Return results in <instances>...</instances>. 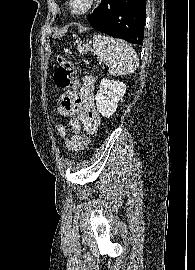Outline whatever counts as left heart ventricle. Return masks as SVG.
Returning <instances> with one entry per match:
<instances>
[{
    "label": "left heart ventricle",
    "mask_w": 195,
    "mask_h": 270,
    "mask_svg": "<svg viewBox=\"0 0 195 270\" xmlns=\"http://www.w3.org/2000/svg\"><path fill=\"white\" fill-rule=\"evenodd\" d=\"M88 0H74L73 7L75 10H82L87 5Z\"/></svg>",
    "instance_id": "b2bd125f"
}]
</instances>
